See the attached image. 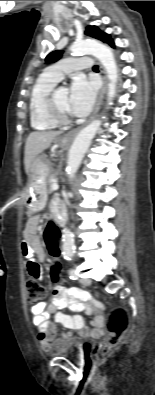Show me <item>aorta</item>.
<instances>
[{
    "label": "aorta",
    "mask_w": 155,
    "mask_h": 395,
    "mask_svg": "<svg viewBox=\"0 0 155 395\" xmlns=\"http://www.w3.org/2000/svg\"><path fill=\"white\" fill-rule=\"evenodd\" d=\"M71 51L78 54H91L96 57L103 65L108 83L107 105L113 104L116 94V83L118 79V69L114 55L109 47L91 39L76 41L71 46ZM102 121L93 120L84 127L76 136L68 154L67 172L69 179H73L83 158L88 150L91 140L94 138ZM62 250L66 259H71L75 252L74 236L72 232L65 228L62 235Z\"/></svg>",
    "instance_id": "aorta-1"
}]
</instances>
